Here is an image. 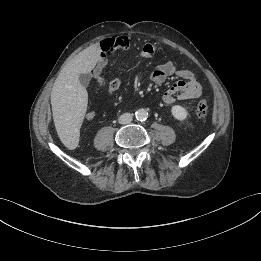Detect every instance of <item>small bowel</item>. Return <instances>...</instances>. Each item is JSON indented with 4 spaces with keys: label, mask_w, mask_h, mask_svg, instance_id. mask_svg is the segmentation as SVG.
<instances>
[{
    "label": "small bowel",
    "mask_w": 261,
    "mask_h": 261,
    "mask_svg": "<svg viewBox=\"0 0 261 261\" xmlns=\"http://www.w3.org/2000/svg\"><path fill=\"white\" fill-rule=\"evenodd\" d=\"M130 47V40L127 36L108 37L100 42V55L95 67V75L99 76L105 66L106 56L118 50H127ZM157 50L153 43L146 42L139 49V55L144 58H154ZM177 76L179 78L170 88L163 94L162 100L165 104L170 105L177 100H191L200 97L202 88L195 75L188 69L179 68L175 62L168 61L157 66L151 73V80L157 84H164L169 77ZM121 85L120 78L112 79L107 87L109 92H114ZM95 113L89 111L86 114L87 120H93Z\"/></svg>",
    "instance_id": "obj_1"
}]
</instances>
